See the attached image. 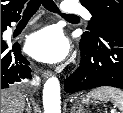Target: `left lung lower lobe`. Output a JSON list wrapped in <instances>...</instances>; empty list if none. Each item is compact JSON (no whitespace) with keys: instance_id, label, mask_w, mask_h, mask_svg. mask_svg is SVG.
<instances>
[{"instance_id":"1","label":"left lung lower lobe","mask_w":123,"mask_h":113,"mask_svg":"<svg viewBox=\"0 0 123 113\" xmlns=\"http://www.w3.org/2000/svg\"><path fill=\"white\" fill-rule=\"evenodd\" d=\"M81 61L65 80L67 93L113 86L123 89V24L103 19L97 38L80 41Z\"/></svg>"}]
</instances>
